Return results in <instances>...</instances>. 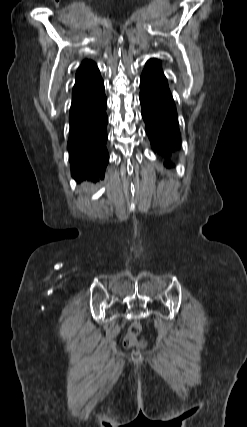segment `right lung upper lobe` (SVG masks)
I'll list each match as a JSON object with an SVG mask.
<instances>
[{
    "instance_id": "right-lung-upper-lobe-1",
    "label": "right lung upper lobe",
    "mask_w": 247,
    "mask_h": 427,
    "mask_svg": "<svg viewBox=\"0 0 247 427\" xmlns=\"http://www.w3.org/2000/svg\"><path fill=\"white\" fill-rule=\"evenodd\" d=\"M95 69H97V66L94 62H92L90 60L83 61L81 66L79 67L77 73H76V79L81 78V77L91 73Z\"/></svg>"
}]
</instances>
